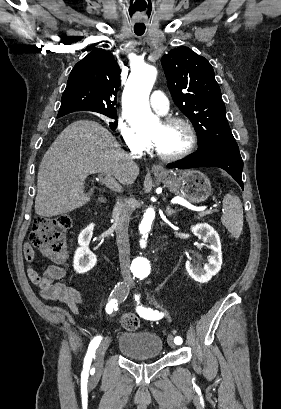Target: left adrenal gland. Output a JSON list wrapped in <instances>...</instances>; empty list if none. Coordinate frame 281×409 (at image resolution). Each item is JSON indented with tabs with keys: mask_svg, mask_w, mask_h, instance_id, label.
Here are the masks:
<instances>
[{
	"mask_svg": "<svg viewBox=\"0 0 281 409\" xmlns=\"http://www.w3.org/2000/svg\"><path fill=\"white\" fill-rule=\"evenodd\" d=\"M173 213H176V211H173V209H170V207H168V209H167L168 217H171V215H173Z\"/></svg>",
	"mask_w": 281,
	"mask_h": 409,
	"instance_id": "1",
	"label": "left adrenal gland"
}]
</instances>
